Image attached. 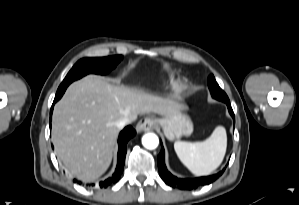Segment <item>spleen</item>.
<instances>
[{"mask_svg":"<svg viewBox=\"0 0 299 205\" xmlns=\"http://www.w3.org/2000/svg\"><path fill=\"white\" fill-rule=\"evenodd\" d=\"M226 148L227 135L223 126H217L205 141L174 143L180 161L198 176L209 175L216 170L224 159Z\"/></svg>","mask_w":299,"mask_h":205,"instance_id":"obj_1","label":"spleen"}]
</instances>
